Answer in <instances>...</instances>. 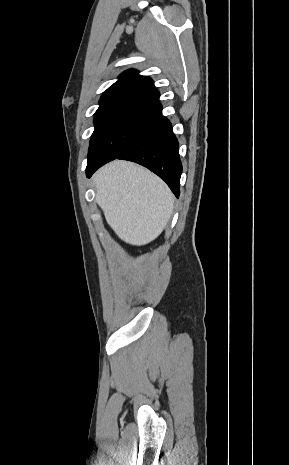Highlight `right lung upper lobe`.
<instances>
[{
  "instance_id": "cb5924a9",
  "label": "right lung upper lobe",
  "mask_w": 289,
  "mask_h": 465,
  "mask_svg": "<svg viewBox=\"0 0 289 465\" xmlns=\"http://www.w3.org/2000/svg\"><path fill=\"white\" fill-rule=\"evenodd\" d=\"M159 96L151 78L138 75L135 70H128L122 73L120 79L102 94L100 106L95 113L127 103L161 106L158 103Z\"/></svg>"
}]
</instances>
